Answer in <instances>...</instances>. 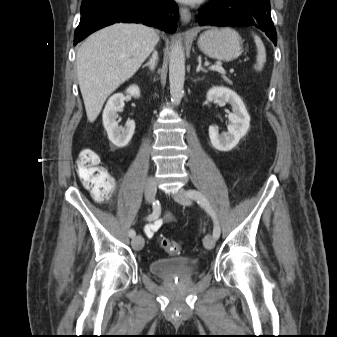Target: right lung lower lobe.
<instances>
[{
    "label": "right lung lower lobe",
    "instance_id": "right-lung-lower-lobe-1",
    "mask_svg": "<svg viewBox=\"0 0 337 337\" xmlns=\"http://www.w3.org/2000/svg\"><path fill=\"white\" fill-rule=\"evenodd\" d=\"M178 6L173 0H83L74 45L96 30L114 23H143L166 32L177 28Z\"/></svg>",
    "mask_w": 337,
    "mask_h": 337
}]
</instances>
